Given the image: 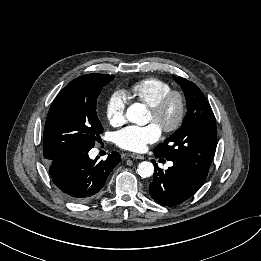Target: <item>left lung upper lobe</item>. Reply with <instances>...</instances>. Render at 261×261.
<instances>
[{"label": "left lung upper lobe", "mask_w": 261, "mask_h": 261, "mask_svg": "<svg viewBox=\"0 0 261 261\" xmlns=\"http://www.w3.org/2000/svg\"><path fill=\"white\" fill-rule=\"evenodd\" d=\"M174 80L185 93L187 114L182 126L163 143L158 144L154 153L207 176L217 141L213 111L194 83L182 77H175Z\"/></svg>", "instance_id": "obj_1"}]
</instances>
